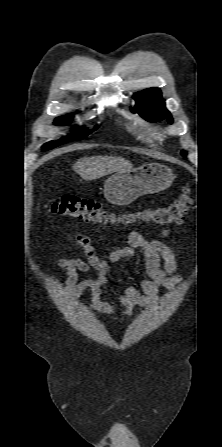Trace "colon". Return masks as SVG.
Here are the masks:
<instances>
[{"label":"colon","instance_id":"colon-1","mask_svg":"<svg viewBox=\"0 0 222 447\" xmlns=\"http://www.w3.org/2000/svg\"><path fill=\"white\" fill-rule=\"evenodd\" d=\"M191 203L190 189L185 188L181 196L170 205L156 210L143 209L116 215L97 200L73 195L63 196L51 206L54 215L70 217L91 225H108L119 221L132 223L136 220L151 222L158 226L180 223Z\"/></svg>","mask_w":222,"mask_h":447}]
</instances>
